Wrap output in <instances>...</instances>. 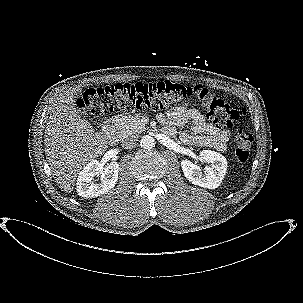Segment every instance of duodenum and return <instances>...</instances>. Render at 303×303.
<instances>
[{
    "instance_id": "1",
    "label": "duodenum",
    "mask_w": 303,
    "mask_h": 303,
    "mask_svg": "<svg viewBox=\"0 0 303 303\" xmlns=\"http://www.w3.org/2000/svg\"><path fill=\"white\" fill-rule=\"evenodd\" d=\"M106 132H107V139L110 143H114L116 140H117V135L114 131V128L109 126L107 129H106Z\"/></svg>"
}]
</instances>
